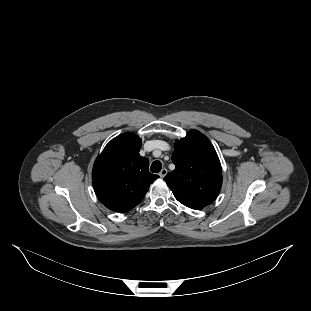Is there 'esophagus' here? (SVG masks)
<instances>
[{"label": "esophagus", "instance_id": "34e87169", "mask_svg": "<svg viewBox=\"0 0 311 311\" xmlns=\"http://www.w3.org/2000/svg\"><path fill=\"white\" fill-rule=\"evenodd\" d=\"M167 174V169L166 168H163L161 169L160 173H159V176L161 178L165 177V175Z\"/></svg>", "mask_w": 311, "mask_h": 311}]
</instances>
